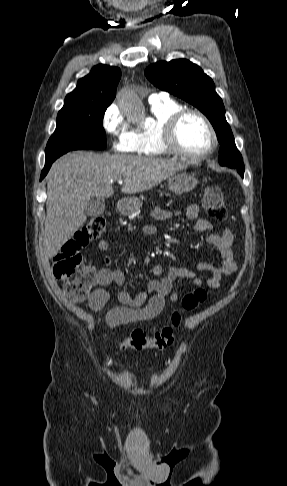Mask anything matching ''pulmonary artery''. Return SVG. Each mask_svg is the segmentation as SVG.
<instances>
[{
	"label": "pulmonary artery",
	"mask_w": 287,
	"mask_h": 486,
	"mask_svg": "<svg viewBox=\"0 0 287 486\" xmlns=\"http://www.w3.org/2000/svg\"><path fill=\"white\" fill-rule=\"evenodd\" d=\"M162 99H168V95L164 92L161 93H152L149 96V102H154Z\"/></svg>",
	"instance_id": "e3ab8cb5"
}]
</instances>
